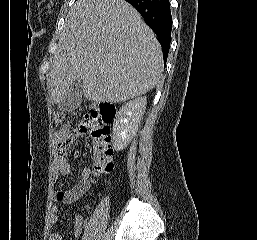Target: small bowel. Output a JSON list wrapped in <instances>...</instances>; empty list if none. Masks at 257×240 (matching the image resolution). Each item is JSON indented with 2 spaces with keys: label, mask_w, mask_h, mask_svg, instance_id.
Here are the masks:
<instances>
[{
  "label": "small bowel",
  "mask_w": 257,
  "mask_h": 240,
  "mask_svg": "<svg viewBox=\"0 0 257 240\" xmlns=\"http://www.w3.org/2000/svg\"><path fill=\"white\" fill-rule=\"evenodd\" d=\"M86 132L85 128L80 124L77 127L71 128L64 126L54 135L55 140V174L61 176H69L72 173V166L68 160L67 152L72 143ZM92 171L89 167L82 170L80 179L78 182L69 189L61 190L58 189L54 193V200L58 203L73 204L77 202L81 197L89 191L92 186ZM59 207L55 203L50 209V223L55 224L58 221ZM85 228V222L80 218L76 217L74 223V235L80 237ZM49 240H64L63 236L59 232H52L49 235Z\"/></svg>",
  "instance_id": "small-bowel-1"
}]
</instances>
